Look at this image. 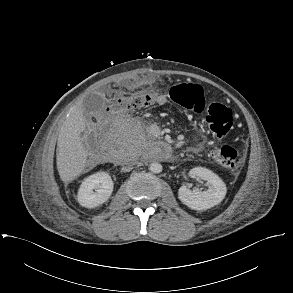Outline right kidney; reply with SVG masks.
<instances>
[{"label": "right kidney", "mask_w": 293, "mask_h": 293, "mask_svg": "<svg viewBox=\"0 0 293 293\" xmlns=\"http://www.w3.org/2000/svg\"><path fill=\"white\" fill-rule=\"evenodd\" d=\"M113 181L106 172H96L87 177L80 185L78 203L86 208L97 207L106 202L113 192Z\"/></svg>", "instance_id": "obj_1"}]
</instances>
